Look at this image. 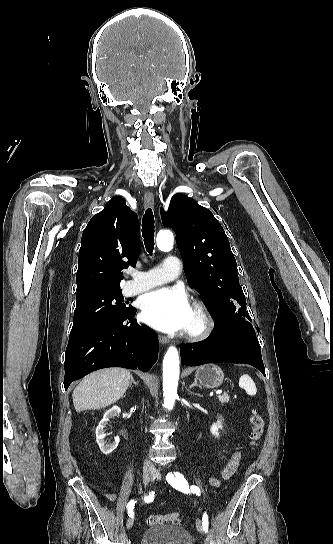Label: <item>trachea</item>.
<instances>
[{"label": "trachea", "instance_id": "obj_1", "mask_svg": "<svg viewBox=\"0 0 333 544\" xmlns=\"http://www.w3.org/2000/svg\"><path fill=\"white\" fill-rule=\"evenodd\" d=\"M142 236L147 251L152 253L154 249V216L150 208L146 210L143 216Z\"/></svg>", "mask_w": 333, "mask_h": 544}]
</instances>
